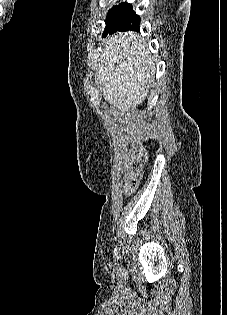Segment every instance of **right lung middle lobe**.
<instances>
[{
  "label": "right lung middle lobe",
  "mask_w": 227,
  "mask_h": 315,
  "mask_svg": "<svg viewBox=\"0 0 227 315\" xmlns=\"http://www.w3.org/2000/svg\"><path fill=\"white\" fill-rule=\"evenodd\" d=\"M140 20V16L133 11L131 4L125 2L113 6L107 14L105 20L107 27L103 35L106 36L107 33L112 34L116 31H137L139 29Z\"/></svg>",
  "instance_id": "1"
}]
</instances>
